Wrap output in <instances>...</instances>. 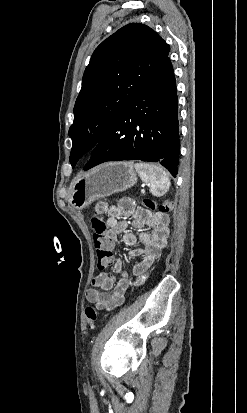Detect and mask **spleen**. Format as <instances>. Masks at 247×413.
<instances>
[{"label": "spleen", "mask_w": 247, "mask_h": 413, "mask_svg": "<svg viewBox=\"0 0 247 413\" xmlns=\"http://www.w3.org/2000/svg\"><path fill=\"white\" fill-rule=\"evenodd\" d=\"M141 164L142 162H136L134 166L137 172H139L141 180H144L146 184H149L152 194H155V196H162V194H165L170 186V180L164 168H159V166H156V168H154V172H152L150 176H145L144 170H141Z\"/></svg>", "instance_id": "obj_1"}]
</instances>
